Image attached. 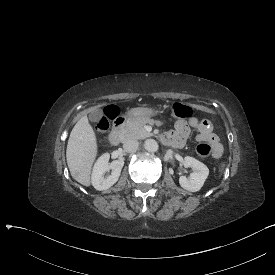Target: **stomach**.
<instances>
[{
    "label": "stomach",
    "instance_id": "stomach-1",
    "mask_svg": "<svg viewBox=\"0 0 275 275\" xmlns=\"http://www.w3.org/2000/svg\"><path fill=\"white\" fill-rule=\"evenodd\" d=\"M160 113V110L147 108V107H137L132 108L128 111L127 115L129 119H141L150 118L156 116Z\"/></svg>",
    "mask_w": 275,
    "mask_h": 275
}]
</instances>
